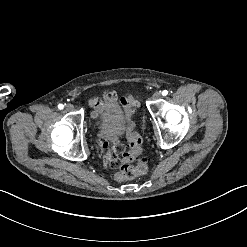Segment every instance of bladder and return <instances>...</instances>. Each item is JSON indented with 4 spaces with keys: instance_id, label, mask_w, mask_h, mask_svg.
Returning a JSON list of instances; mask_svg holds the SVG:
<instances>
[{
    "instance_id": "bladder-1",
    "label": "bladder",
    "mask_w": 247,
    "mask_h": 247,
    "mask_svg": "<svg viewBox=\"0 0 247 247\" xmlns=\"http://www.w3.org/2000/svg\"><path fill=\"white\" fill-rule=\"evenodd\" d=\"M102 134L110 139L116 132L124 128L122 121V108L119 102H107L101 112Z\"/></svg>"
}]
</instances>
